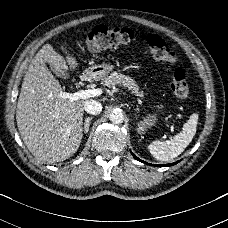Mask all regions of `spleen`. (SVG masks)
<instances>
[{
    "instance_id": "3e777b00",
    "label": "spleen",
    "mask_w": 228,
    "mask_h": 228,
    "mask_svg": "<svg viewBox=\"0 0 228 228\" xmlns=\"http://www.w3.org/2000/svg\"><path fill=\"white\" fill-rule=\"evenodd\" d=\"M198 115L192 114L183 124L180 132L173 139L167 141H152L148 146V152L159 161H171L180 155L192 141L197 127Z\"/></svg>"
}]
</instances>
